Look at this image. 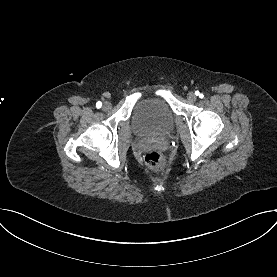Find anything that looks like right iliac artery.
I'll list each match as a JSON object with an SVG mask.
<instances>
[{
  "label": "right iliac artery",
  "mask_w": 277,
  "mask_h": 277,
  "mask_svg": "<svg viewBox=\"0 0 277 277\" xmlns=\"http://www.w3.org/2000/svg\"><path fill=\"white\" fill-rule=\"evenodd\" d=\"M102 106V103L100 102V101H98L97 103H96V107L97 108H100Z\"/></svg>",
  "instance_id": "82829eb1"
}]
</instances>
